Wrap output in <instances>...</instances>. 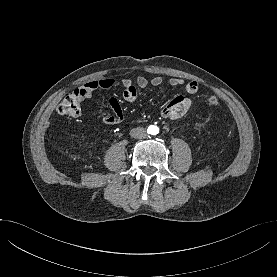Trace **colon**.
<instances>
[{"mask_svg":"<svg viewBox=\"0 0 277 277\" xmlns=\"http://www.w3.org/2000/svg\"><path fill=\"white\" fill-rule=\"evenodd\" d=\"M83 94L76 90L67 95L58 105L57 111L60 115L77 117L81 111V101ZM206 102L210 106H216L219 103L218 97L212 93L206 97Z\"/></svg>","mask_w":277,"mask_h":277,"instance_id":"colon-1","label":"colon"}]
</instances>
